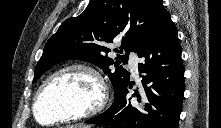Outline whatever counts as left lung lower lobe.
I'll return each instance as SVG.
<instances>
[{
  "label": "left lung lower lobe",
  "mask_w": 221,
  "mask_h": 128,
  "mask_svg": "<svg viewBox=\"0 0 221 128\" xmlns=\"http://www.w3.org/2000/svg\"><path fill=\"white\" fill-rule=\"evenodd\" d=\"M143 87L127 99L128 83L112 106L86 121L113 128H177L184 95V68L177 30L168 14L136 52Z\"/></svg>",
  "instance_id": "obj_1"
}]
</instances>
